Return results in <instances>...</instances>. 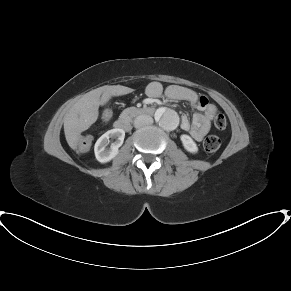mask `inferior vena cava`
<instances>
[{"label":"inferior vena cava","mask_w":291,"mask_h":291,"mask_svg":"<svg viewBox=\"0 0 291 291\" xmlns=\"http://www.w3.org/2000/svg\"><path fill=\"white\" fill-rule=\"evenodd\" d=\"M153 123V118L149 115H139L134 120V127L140 128L145 125H150Z\"/></svg>","instance_id":"obj_1"}]
</instances>
